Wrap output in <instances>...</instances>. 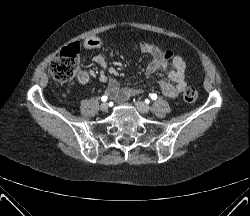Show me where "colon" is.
<instances>
[{
    "instance_id": "1",
    "label": "colon",
    "mask_w": 250,
    "mask_h": 216,
    "mask_svg": "<svg viewBox=\"0 0 250 216\" xmlns=\"http://www.w3.org/2000/svg\"><path fill=\"white\" fill-rule=\"evenodd\" d=\"M79 45L72 44L60 51L50 65V73L52 77L59 82H67L71 80L78 69L79 65ZM183 99L187 103H193L198 99L197 89L190 85L184 93Z\"/></svg>"
}]
</instances>
